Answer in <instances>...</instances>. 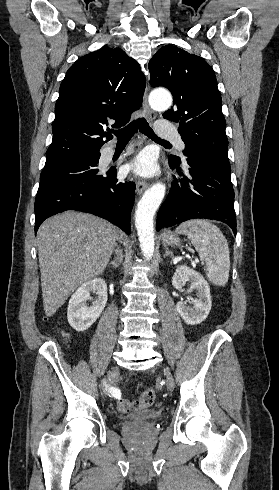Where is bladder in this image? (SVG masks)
I'll return each instance as SVG.
<instances>
[{"mask_svg": "<svg viewBox=\"0 0 279 490\" xmlns=\"http://www.w3.org/2000/svg\"><path fill=\"white\" fill-rule=\"evenodd\" d=\"M161 410L154 407H146L141 410H135L129 413L125 418L124 422L127 425L139 424L141 422L151 424L154 421L161 419Z\"/></svg>", "mask_w": 279, "mask_h": 490, "instance_id": "31cf9c89", "label": "bladder"}]
</instances>
